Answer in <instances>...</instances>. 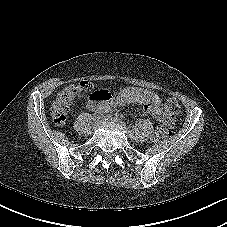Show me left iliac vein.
<instances>
[{
    "label": "left iliac vein",
    "mask_w": 227,
    "mask_h": 227,
    "mask_svg": "<svg viewBox=\"0 0 227 227\" xmlns=\"http://www.w3.org/2000/svg\"><path fill=\"white\" fill-rule=\"evenodd\" d=\"M109 121L117 122L120 126H122V127L125 129L127 135H128L130 138H133V137H134L132 131H130V130L125 126V124H124L122 121H120V120H118V119H114V118H110Z\"/></svg>",
    "instance_id": "obj_1"
}]
</instances>
